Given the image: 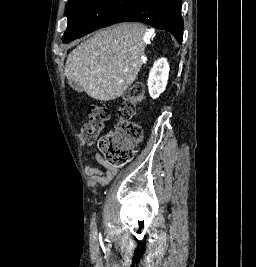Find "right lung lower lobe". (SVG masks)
Instances as JSON below:
<instances>
[{"label": "right lung lower lobe", "mask_w": 256, "mask_h": 267, "mask_svg": "<svg viewBox=\"0 0 256 267\" xmlns=\"http://www.w3.org/2000/svg\"><path fill=\"white\" fill-rule=\"evenodd\" d=\"M182 0H138L132 8L115 19L120 22H142L170 32L181 44L183 39Z\"/></svg>", "instance_id": "1"}]
</instances>
